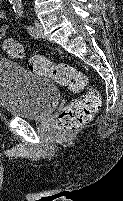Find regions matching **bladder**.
Masks as SVG:
<instances>
[{
    "instance_id": "1",
    "label": "bladder",
    "mask_w": 123,
    "mask_h": 201,
    "mask_svg": "<svg viewBox=\"0 0 123 201\" xmlns=\"http://www.w3.org/2000/svg\"><path fill=\"white\" fill-rule=\"evenodd\" d=\"M60 100L57 86L9 58L0 57V107L10 116L45 120Z\"/></svg>"
}]
</instances>
